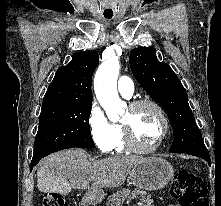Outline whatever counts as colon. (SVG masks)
Masks as SVG:
<instances>
[{
  "instance_id": "obj_1",
  "label": "colon",
  "mask_w": 221,
  "mask_h": 206,
  "mask_svg": "<svg viewBox=\"0 0 221 206\" xmlns=\"http://www.w3.org/2000/svg\"><path fill=\"white\" fill-rule=\"evenodd\" d=\"M172 193L178 198L181 206H209L206 185L191 171L180 170L175 174ZM42 206H69V204L60 194H45Z\"/></svg>"
}]
</instances>
